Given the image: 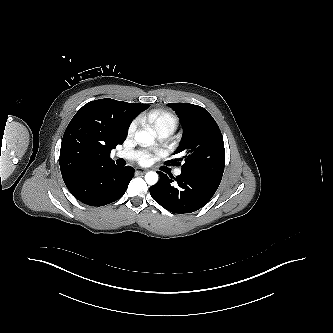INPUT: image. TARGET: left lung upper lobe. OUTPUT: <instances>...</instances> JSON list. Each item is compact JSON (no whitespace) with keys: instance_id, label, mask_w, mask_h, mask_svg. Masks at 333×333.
I'll use <instances>...</instances> for the list:
<instances>
[{"instance_id":"5c2ea615","label":"left lung upper lobe","mask_w":333,"mask_h":333,"mask_svg":"<svg viewBox=\"0 0 333 333\" xmlns=\"http://www.w3.org/2000/svg\"><path fill=\"white\" fill-rule=\"evenodd\" d=\"M184 124V133L174 154L179 158L166 164L181 166L182 173L207 174L222 178L225 167V148L221 131L201 106L170 103Z\"/></svg>"}]
</instances>
